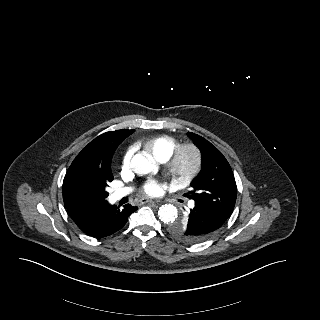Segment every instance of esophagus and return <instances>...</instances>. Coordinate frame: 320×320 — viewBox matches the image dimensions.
<instances>
[{"label": "esophagus", "mask_w": 320, "mask_h": 320, "mask_svg": "<svg viewBox=\"0 0 320 320\" xmlns=\"http://www.w3.org/2000/svg\"><path fill=\"white\" fill-rule=\"evenodd\" d=\"M141 203L142 204H145V203L154 204V203H159V201L158 200H152V199H149V198H145V199L141 200Z\"/></svg>", "instance_id": "34e87169"}]
</instances>
